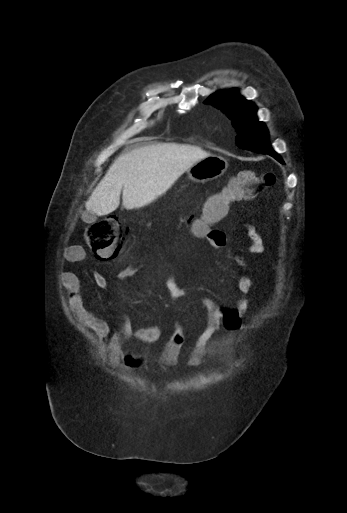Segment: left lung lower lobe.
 I'll return each mask as SVG.
<instances>
[{"label":"left lung lower lobe","mask_w":347,"mask_h":513,"mask_svg":"<svg viewBox=\"0 0 347 513\" xmlns=\"http://www.w3.org/2000/svg\"><path fill=\"white\" fill-rule=\"evenodd\" d=\"M269 155H271L272 157H274V158H275L276 160H278L280 163H284V162H283V160L281 159V157H280L277 153L273 152V153H271V154H269Z\"/></svg>","instance_id":"0a47b994"}]
</instances>
